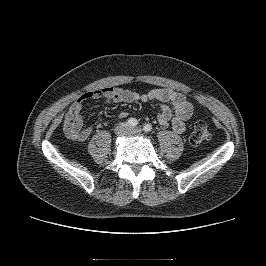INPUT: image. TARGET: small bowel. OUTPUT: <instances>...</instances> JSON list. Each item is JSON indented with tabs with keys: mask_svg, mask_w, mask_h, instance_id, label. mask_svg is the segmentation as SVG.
Listing matches in <instances>:
<instances>
[{
	"mask_svg": "<svg viewBox=\"0 0 266 266\" xmlns=\"http://www.w3.org/2000/svg\"><path fill=\"white\" fill-rule=\"evenodd\" d=\"M99 99H103L107 104L137 101L159 103L158 122L163 126H171L179 134L186 130V122L194 116L191 101L184 94L169 88H157L145 94H139L118 87H106L88 91L70 105L63 119V129L68 138L83 142L91 136L92 128L84 126L81 113L86 101ZM119 116L123 118L126 113L120 112Z\"/></svg>",
	"mask_w": 266,
	"mask_h": 266,
	"instance_id": "obj_1",
	"label": "small bowel"
}]
</instances>
